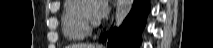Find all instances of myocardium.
Here are the masks:
<instances>
[{
	"instance_id": "myocardium-1",
	"label": "myocardium",
	"mask_w": 213,
	"mask_h": 48,
	"mask_svg": "<svg viewBox=\"0 0 213 48\" xmlns=\"http://www.w3.org/2000/svg\"><path fill=\"white\" fill-rule=\"evenodd\" d=\"M80 2L79 8H78V14L80 17V20L82 24L89 29L90 31L97 28L99 26V20L91 19L85 12H84V2Z\"/></svg>"
}]
</instances>
